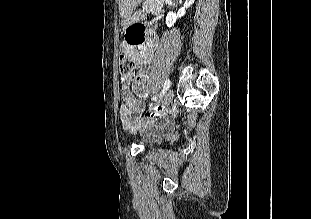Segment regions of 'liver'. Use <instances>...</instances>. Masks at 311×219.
<instances>
[{
	"label": "liver",
	"instance_id": "6515ba94",
	"mask_svg": "<svg viewBox=\"0 0 311 219\" xmlns=\"http://www.w3.org/2000/svg\"><path fill=\"white\" fill-rule=\"evenodd\" d=\"M131 1L132 0H119V12L123 18L132 10Z\"/></svg>",
	"mask_w": 311,
	"mask_h": 219
}]
</instances>
